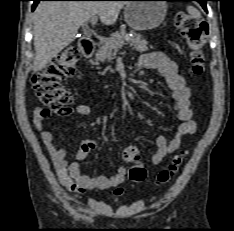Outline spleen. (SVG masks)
I'll return each mask as SVG.
<instances>
[{"mask_svg": "<svg viewBox=\"0 0 234 231\" xmlns=\"http://www.w3.org/2000/svg\"><path fill=\"white\" fill-rule=\"evenodd\" d=\"M187 11L192 17H195V18L200 17V12L193 6H188Z\"/></svg>", "mask_w": 234, "mask_h": 231, "instance_id": "3e777b00", "label": "spleen"}]
</instances>
